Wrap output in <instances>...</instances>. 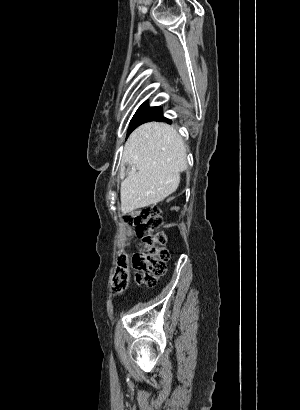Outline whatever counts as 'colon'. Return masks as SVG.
<instances>
[{
	"label": "colon",
	"mask_w": 300,
	"mask_h": 410,
	"mask_svg": "<svg viewBox=\"0 0 300 410\" xmlns=\"http://www.w3.org/2000/svg\"><path fill=\"white\" fill-rule=\"evenodd\" d=\"M125 223L135 228L137 236L147 248L130 258L122 256L113 278V289L124 291L130 282V271L135 272L138 283L155 286L166 272L169 251L165 248L166 237L161 231L163 224L159 207L148 205L125 216Z\"/></svg>",
	"instance_id": "5ec220e1"
}]
</instances>
